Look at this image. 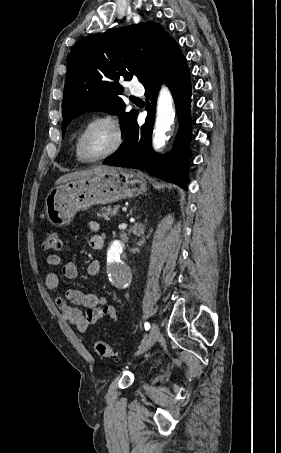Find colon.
<instances>
[{"label":"colon","instance_id":"5ec220e1","mask_svg":"<svg viewBox=\"0 0 281 453\" xmlns=\"http://www.w3.org/2000/svg\"><path fill=\"white\" fill-rule=\"evenodd\" d=\"M42 250L44 252H58L60 250V232L58 230H49L42 242ZM93 349L98 357L105 360H114L115 353L113 349L103 341H96L93 344Z\"/></svg>","mask_w":281,"mask_h":453}]
</instances>
